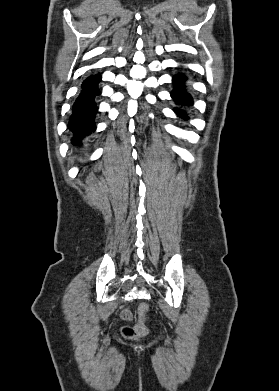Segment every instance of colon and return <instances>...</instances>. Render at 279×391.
Instances as JSON below:
<instances>
[{"instance_id":"obj_1","label":"colon","mask_w":279,"mask_h":391,"mask_svg":"<svg viewBox=\"0 0 279 391\" xmlns=\"http://www.w3.org/2000/svg\"><path fill=\"white\" fill-rule=\"evenodd\" d=\"M149 313V306L145 303L140 304L137 310V322L134 326H124L121 334L126 339H139L148 333L146 320Z\"/></svg>"}]
</instances>
